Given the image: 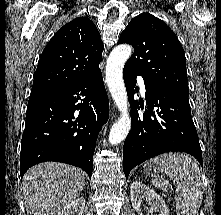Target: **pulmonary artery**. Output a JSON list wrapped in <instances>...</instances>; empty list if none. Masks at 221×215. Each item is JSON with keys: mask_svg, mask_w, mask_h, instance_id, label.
<instances>
[{"mask_svg": "<svg viewBox=\"0 0 221 215\" xmlns=\"http://www.w3.org/2000/svg\"><path fill=\"white\" fill-rule=\"evenodd\" d=\"M138 82H139V86H140V89H141L142 93H145L146 88H145V84H144L143 79L139 78Z\"/></svg>", "mask_w": 221, "mask_h": 215, "instance_id": "obj_1", "label": "pulmonary artery"}]
</instances>
